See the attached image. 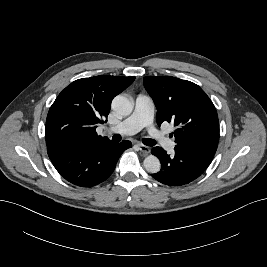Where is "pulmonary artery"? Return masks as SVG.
I'll use <instances>...</instances> for the list:
<instances>
[{
  "mask_svg": "<svg viewBox=\"0 0 267 267\" xmlns=\"http://www.w3.org/2000/svg\"><path fill=\"white\" fill-rule=\"evenodd\" d=\"M153 101L145 94H139L135 100L133 113L117 126L110 128V131L122 135H131L144 127H149L150 136L160 143L166 150L172 151L175 147L174 140L151 126L153 119Z\"/></svg>",
  "mask_w": 267,
  "mask_h": 267,
  "instance_id": "obj_1",
  "label": "pulmonary artery"
}]
</instances>
